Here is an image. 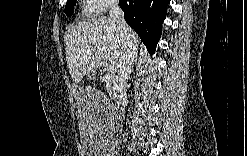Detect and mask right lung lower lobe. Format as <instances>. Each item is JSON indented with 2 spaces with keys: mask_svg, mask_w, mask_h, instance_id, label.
Returning <instances> with one entry per match:
<instances>
[{
  "mask_svg": "<svg viewBox=\"0 0 247 156\" xmlns=\"http://www.w3.org/2000/svg\"><path fill=\"white\" fill-rule=\"evenodd\" d=\"M169 2L170 0H119L126 22L137 32L151 54L160 39Z\"/></svg>",
  "mask_w": 247,
  "mask_h": 156,
  "instance_id": "right-lung-lower-lobe-1",
  "label": "right lung lower lobe"
}]
</instances>
